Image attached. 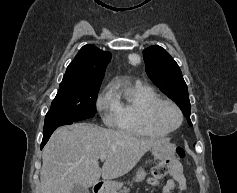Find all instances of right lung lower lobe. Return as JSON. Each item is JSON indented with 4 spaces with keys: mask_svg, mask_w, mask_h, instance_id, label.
<instances>
[{
    "mask_svg": "<svg viewBox=\"0 0 237 193\" xmlns=\"http://www.w3.org/2000/svg\"><path fill=\"white\" fill-rule=\"evenodd\" d=\"M73 121L64 117L54 116V115H46L45 123H44V131H43V141L41 144V149L49 140L51 134L54 132L56 128L62 125L72 124Z\"/></svg>",
    "mask_w": 237,
    "mask_h": 193,
    "instance_id": "right-lung-lower-lobe-1",
    "label": "right lung lower lobe"
}]
</instances>
